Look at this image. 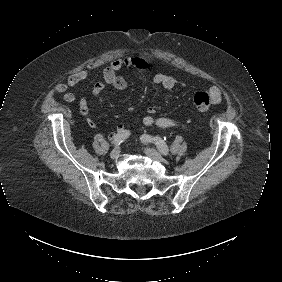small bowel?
I'll list each match as a JSON object with an SVG mask.
<instances>
[{"label":"small bowel","mask_w":282,"mask_h":282,"mask_svg":"<svg viewBox=\"0 0 282 282\" xmlns=\"http://www.w3.org/2000/svg\"><path fill=\"white\" fill-rule=\"evenodd\" d=\"M150 66V62L147 58L140 55H128L125 57L116 58L112 63L105 68L103 72V81L95 83L92 94L96 97L100 96L107 86H114L118 89L126 87V81L119 75L122 68H135L138 70H147ZM89 74L88 70H82L73 73L68 78L55 86L57 93L63 94V98L66 102H74L76 96L74 93L68 91L71 87H74L81 81L87 78ZM153 83L162 86L166 89H174L177 87H184L185 82L175 78L173 76L158 73L153 76ZM208 93L213 104H219L222 100V91L217 86L209 88ZM79 108L81 113L85 116L88 125L91 128L96 127V122L89 115L88 101L85 98L80 99ZM142 123L148 128H161V129H182L187 130L188 126L175 118L165 116H155L154 108L150 107L147 110V115L143 118ZM124 130V126L120 125L118 128L111 133V137H115L117 134Z\"/></svg>","instance_id":"small-bowel-1"}]
</instances>
